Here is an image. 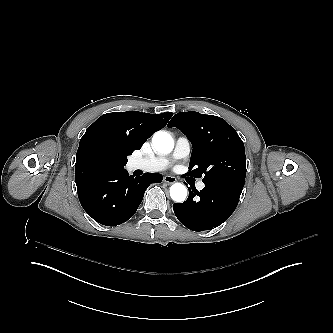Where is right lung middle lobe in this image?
I'll return each mask as SVG.
<instances>
[{"label":"right lung middle lobe","mask_w":333,"mask_h":333,"mask_svg":"<svg viewBox=\"0 0 333 333\" xmlns=\"http://www.w3.org/2000/svg\"><path fill=\"white\" fill-rule=\"evenodd\" d=\"M83 161L94 162L95 164L108 168H123L127 163V157H121L100 143L89 146L86 150Z\"/></svg>","instance_id":"dd1d6c3e"}]
</instances>
